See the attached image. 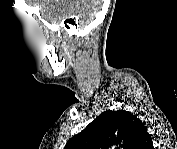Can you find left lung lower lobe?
Returning a JSON list of instances; mask_svg holds the SVG:
<instances>
[{
  "mask_svg": "<svg viewBox=\"0 0 177 149\" xmlns=\"http://www.w3.org/2000/svg\"><path fill=\"white\" fill-rule=\"evenodd\" d=\"M143 146L146 149H152L153 148L151 136L148 133L144 136V144H143Z\"/></svg>",
  "mask_w": 177,
  "mask_h": 149,
  "instance_id": "0a47b994",
  "label": "left lung lower lobe"
}]
</instances>
